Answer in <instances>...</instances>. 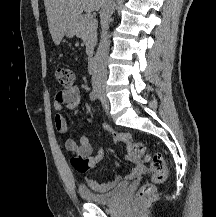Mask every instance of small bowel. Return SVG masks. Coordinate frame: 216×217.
<instances>
[{
    "label": "small bowel",
    "instance_id": "obj_1",
    "mask_svg": "<svg viewBox=\"0 0 216 217\" xmlns=\"http://www.w3.org/2000/svg\"><path fill=\"white\" fill-rule=\"evenodd\" d=\"M80 102L81 93L79 88L76 86H73L69 89H62L55 93L53 99V105L56 111L54 122L56 129L60 133L64 134L68 130L67 121L62 114L63 108L66 107L68 109H74L80 104ZM65 146L68 150L76 152L77 154L87 158L90 162L91 168L96 167L105 156V150L102 147L97 150L96 154H93V148L90 139L86 136H82L79 141L69 138L66 140ZM142 170L143 165L140 163H135L126 177L128 179H133L137 177ZM119 181V176H115L113 179L106 182H100L96 179L87 177L85 178V185L93 191L103 192L112 189Z\"/></svg>",
    "mask_w": 216,
    "mask_h": 217
}]
</instances>
